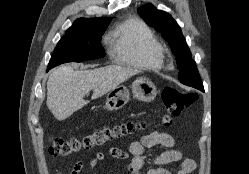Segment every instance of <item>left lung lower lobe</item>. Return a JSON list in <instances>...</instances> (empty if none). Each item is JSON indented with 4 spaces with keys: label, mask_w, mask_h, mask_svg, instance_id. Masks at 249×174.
Instances as JSON below:
<instances>
[{
    "label": "left lung lower lobe",
    "mask_w": 249,
    "mask_h": 174,
    "mask_svg": "<svg viewBox=\"0 0 249 174\" xmlns=\"http://www.w3.org/2000/svg\"><path fill=\"white\" fill-rule=\"evenodd\" d=\"M198 89L201 90V91H203L204 90L203 85L200 86V87H198Z\"/></svg>",
    "instance_id": "0a47b994"
}]
</instances>
